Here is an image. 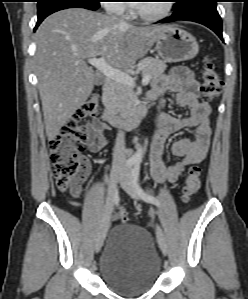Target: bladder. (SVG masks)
Listing matches in <instances>:
<instances>
[{
  "instance_id": "obj_1",
  "label": "bladder",
  "mask_w": 248,
  "mask_h": 299,
  "mask_svg": "<svg viewBox=\"0 0 248 299\" xmlns=\"http://www.w3.org/2000/svg\"><path fill=\"white\" fill-rule=\"evenodd\" d=\"M105 284L124 295L149 290L161 273V262L151 235L134 224L115 226L105 243L99 264Z\"/></svg>"
}]
</instances>
